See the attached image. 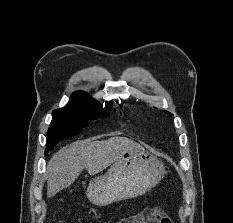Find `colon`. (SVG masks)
I'll use <instances>...</instances> for the list:
<instances>
[{
  "label": "colon",
  "mask_w": 233,
  "mask_h": 223,
  "mask_svg": "<svg viewBox=\"0 0 233 223\" xmlns=\"http://www.w3.org/2000/svg\"><path fill=\"white\" fill-rule=\"evenodd\" d=\"M140 222H148V223H172V220L169 216H167L162 210L156 208L149 210L147 216L140 220L135 219H127L122 221V223H140Z\"/></svg>",
  "instance_id": "colon-1"
}]
</instances>
